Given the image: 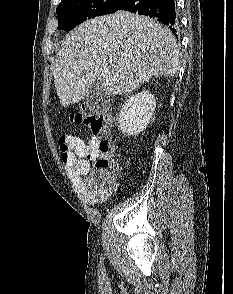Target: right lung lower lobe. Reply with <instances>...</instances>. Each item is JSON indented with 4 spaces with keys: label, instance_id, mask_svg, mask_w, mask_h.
Segmentation results:
<instances>
[{
    "label": "right lung lower lobe",
    "instance_id": "obj_1",
    "mask_svg": "<svg viewBox=\"0 0 233 294\" xmlns=\"http://www.w3.org/2000/svg\"><path fill=\"white\" fill-rule=\"evenodd\" d=\"M118 10L156 18L164 25H167L174 34L179 31V21L174 0H125Z\"/></svg>",
    "mask_w": 233,
    "mask_h": 294
}]
</instances>
